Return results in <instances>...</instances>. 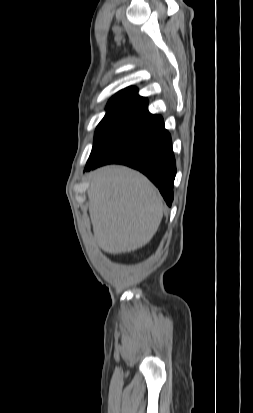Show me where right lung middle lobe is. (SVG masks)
I'll list each match as a JSON object with an SVG mask.
<instances>
[{"instance_id": "1", "label": "right lung middle lobe", "mask_w": 253, "mask_h": 413, "mask_svg": "<svg viewBox=\"0 0 253 413\" xmlns=\"http://www.w3.org/2000/svg\"><path fill=\"white\" fill-rule=\"evenodd\" d=\"M162 122V118L134 112H107L97 126L93 149L85 169L96 165L120 148L150 133Z\"/></svg>"}]
</instances>
